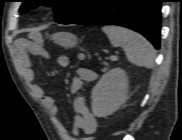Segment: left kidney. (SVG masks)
<instances>
[{"mask_svg": "<svg viewBox=\"0 0 182 140\" xmlns=\"http://www.w3.org/2000/svg\"><path fill=\"white\" fill-rule=\"evenodd\" d=\"M128 78L121 68L105 73L92 90V112L105 117L117 111L127 100Z\"/></svg>", "mask_w": 182, "mask_h": 140, "instance_id": "1", "label": "left kidney"}]
</instances>
